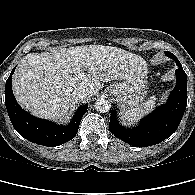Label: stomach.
Returning a JSON list of instances; mask_svg holds the SVG:
<instances>
[{
	"label": "stomach",
	"mask_w": 195,
	"mask_h": 195,
	"mask_svg": "<svg viewBox=\"0 0 195 195\" xmlns=\"http://www.w3.org/2000/svg\"><path fill=\"white\" fill-rule=\"evenodd\" d=\"M147 66L137 70L130 79L110 86V93L116 97L124 110L135 108L142 104L147 96Z\"/></svg>",
	"instance_id": "1"
}]
</instances>
